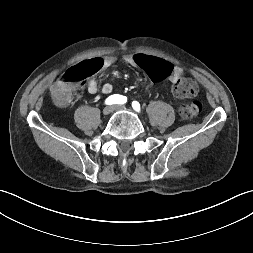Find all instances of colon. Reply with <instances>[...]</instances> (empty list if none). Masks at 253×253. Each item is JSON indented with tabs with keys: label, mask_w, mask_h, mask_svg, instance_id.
Wrapping results in <instances>:
<instances>
[{
	"label": "colon",
	"mask_w": 253,
	"mask_h": 253,
	"mask_svg": "<svg viewBox=\"0 0 253 253\" xmlns=\"http://www.w3.org/2000/svg\"><path fill=\"white\" fill-rule=\"evenodd\" d=\"M135 61L142 70L147 71L153 80L163 79L171 73V65L162 61L157 55L152 56L140 52L137 54ZM100 68L101 63L98 59H91L69 68L62 78L53 85L52 96L54 100L61 105L67 104L71 99L73 85L96 74ZM174 93L183 98L195 96L197 84L190 78H181L174 85ZM201 109V102L194 100L183 104L180 107V114L185 119H192L201 112Z\"/></svg>",
	"instance_id": "1"
}]
</instances>
